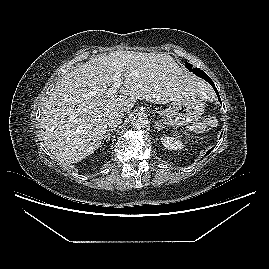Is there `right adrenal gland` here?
Listing matches in <instances>:
<instances>
[{
    "label": "right adrenal gland",
    "instance_id": "2a0ac1e0",
    "mask_svg": "<svg viewBox=\"0 0 269 269\" xmlns=\"http://www.w3.org/2000/svg\"><path fill=\"white\" fill-rule=\"evenodd\" d=\"M115 130V128H111V129H108L107 130V134L105 135L104 137V140H106L107 142L110 140V136H111V133Z\"/></svg>",
    "mask_w": 269,
    "mask_h": 269
}]
</instances>
